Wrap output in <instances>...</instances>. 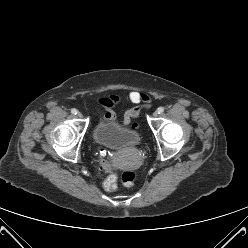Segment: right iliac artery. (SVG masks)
<instances>
[{
	"mask_svg": "<svg viewBox=\"0 0 248 248\" xmlns=\"http://www.w3.org/2000/svg\"><path fill=\"white\" fill-rule=\"evenodd\" d=\"M77 112H78V111H77L75 108L71 110V113H72V114H75V115H76Z\"/></svg>",
	"mask_w": 248,
	"mask_h": 248,
	"instance_id": "1",
	"label": "right iliac artery"
}]
</instances>
